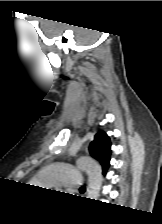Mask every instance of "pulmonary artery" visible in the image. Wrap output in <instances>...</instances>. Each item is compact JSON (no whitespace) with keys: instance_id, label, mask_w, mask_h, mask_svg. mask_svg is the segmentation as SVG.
Wrapping results in <instances>:
<instances>
[{"instance_id":"obj_1","label":"pulmonary artery","mask_w":162,"mask_h":224,"mask_svg":"<svg viewBox=\"0 0 162 224\" xmlns=\"http://www.w3.org/2000/svg\"><path fill=\"white\" fill-rule=\"evenodd\" d=\"M39 180L47 186L79 188L83 184L80 172L69 164L48 167L39 175Z\"/></svg>"}]
</instances>
